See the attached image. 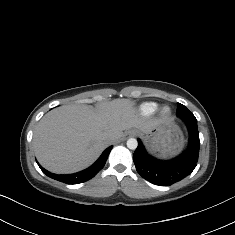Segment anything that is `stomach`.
<instances>
[{"label":"stomach","mask_w":235,"mask_h":235,"mask_svg":"<svg viewBox=\"0 0 235 235\" xmlns=\"http://www.w3.org/2000/svg\"><path fill=\"white\" fill-rule=\"evenodd\" d=\"M136 133L154 152H158L160 158L176 156L184 147L183 133L173 122L156 126L147 133L140 131Z\"/></svg>","instance_id":"0dacf381"}]
</instances>
